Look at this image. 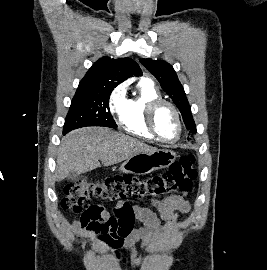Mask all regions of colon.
Returning <instances> with one entry per match:
<instances>
[{
	"label": "colon",
	"instance_id": "obj_1",
	"mask_svg": "<svg viewBox=\"0 0 267 270\" xmlns=\"http://www.w3.org/2000/svg\"><path fill=\"white\" fill-rule=\"evenodd\" d=\"M193 155H185L160 174L135 177L117 175L103 180H81L64 188L61 207L76 214L93 212L92 199L107 202L132 199L158 201L188 192L197 177Z\"/></svg>",
	"mask_w": 267,
	"mask_h": 270
}]
</instances>
